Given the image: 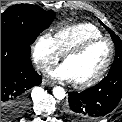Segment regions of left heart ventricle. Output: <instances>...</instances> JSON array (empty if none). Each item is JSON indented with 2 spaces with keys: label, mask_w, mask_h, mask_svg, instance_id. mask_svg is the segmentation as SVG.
I'll use <instances>...</instances> for the list:
<instances>
[{
  "label": "left heart ventricle",
  "mask_w": 122,
  "mask_h": 122,
  "mask_svg": "<svg viewBox=\"0 0 122 122\" xmlns=\"http://www.w3.org/2000/svg\"><path fill=\"white\" fill-rule=\"evenodd\" d=\"M109 52V43L100 41L81 54L66 59L64 64L70 72L72 81L82 82L95 76L105 64Z\"/></svg>",
  "instance_id": "b2bd125f"
}]
</instances>
